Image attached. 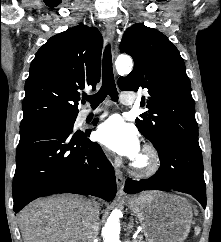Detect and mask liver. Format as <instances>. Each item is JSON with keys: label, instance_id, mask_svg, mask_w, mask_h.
Wrapping results in <instances>:
<instances>
[{"label": "liver", "instance_id": "1", "mask_svg": "<svg viewBox=\"0 0 221 242\" xmlns=\"http://www.w3.org/2000/svg\"><path fill=\"white\" fill-rule=\"evenodd\" d=\"M85 199L67 195L37 200L19 214L24 242H81Z\"/></svg>", "mask_w": 221, "mask_h": 242}]
</instances>
